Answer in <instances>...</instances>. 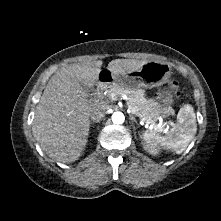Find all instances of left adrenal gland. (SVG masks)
Listing matches in <instances>:
<instances>
[{
	"label": "left adrenal gland",
	"mask_w": 221,
	"mask_h": 221,
	"mask_svg": "<svg viewBox=\"0 0 221 221\" xmlns=\"http://www.w3.org/2000/svg\"><path fill=\"white\" fill-rule=\"evenodd\" d=\"M130 120H132V122H135L136 124H138L137 120L132 115H130ZM133 129H135V127H133Z\"/></svg>",
	"instance_id": "a2214340"
}]
</instances>
